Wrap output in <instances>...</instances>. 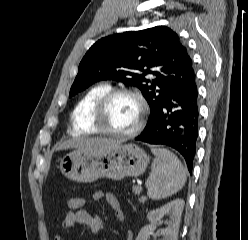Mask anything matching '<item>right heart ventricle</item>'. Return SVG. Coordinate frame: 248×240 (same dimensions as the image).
<instances>
[{
  "label": "right heart ventricle",
  "instance_id": "1",
  "mask_svg": "<svg viewBox=\"0 0 248 240\" xmlns=\"http://www.w3.org/2000/svg\"><path fill=\"white\" fill-rule=\"evenodd\" d=\"M110 89L109 83L102 82L94 85L82 95L71 114L70 131L72 134L81 136L96 132L91 122L92 112L99 98Z\"/></svg>",
  "mask_w": 248,
  "mask_h": 240
}]
</instances>
